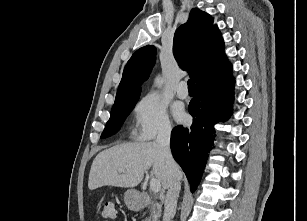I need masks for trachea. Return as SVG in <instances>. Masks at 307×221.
<instances>
[{"label":"trachea","mask_w":307,"mask_h":221,"mask_svg":"<svg viewBox=\"0 0 307 221\" xmlns=\"http://www.w3.org/2000/svg\"><path fill=\"white\" fill-rule=\"evenodd\" d=\"M188 89L194 90V80L193 79L188 80Z\"/></svg>","instance_id":"trachea-1"}]
</instances>
